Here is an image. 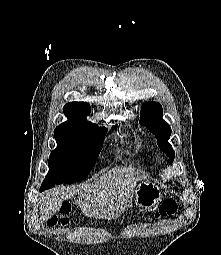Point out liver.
Here are the masks:
<instances>
[{"instance_id":"liver-1","label":"liver","mask_w":221,"mask_h":255,"mask_svg":"<svg viewBox=\"0 0 221 255\" xmlns=\"http://www.w3.org/2000/svg\"><path fill=\"white\" fill-rule=\"evenodd\" d=\"M143 178L133 168L117 166L92 183L47 191L41 197V220L48 221L60 210L64 201L76 195L79 207L87 217L115 219L121 210L130 206L133 190Z\"/></svg>"}]
</instances>
